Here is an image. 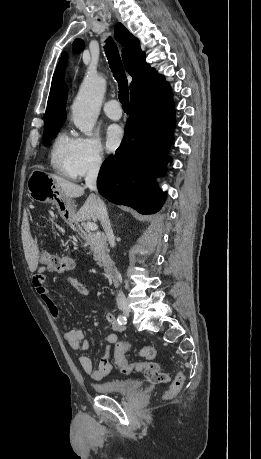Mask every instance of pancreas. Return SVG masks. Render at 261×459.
<instances>
[{
	"mask_svg": "<svg viewBox=\"0 0 261 459\" xmlns=\"http://www.w3.org/2000/svg\"><path fill=\"white\" fill-rule=\"evenodd\" d=\"M86 244L90 246L93 252V258L99 266L103 265L104 259L107 257L108 248L106 238L101 233L88 232L85 234Z\"/></svg>",
	"mask_w": 261,
	"mask_h": 459,
	"instance_id": "pancreas-1",
	"label": "pancreas"
}]
</instances>
